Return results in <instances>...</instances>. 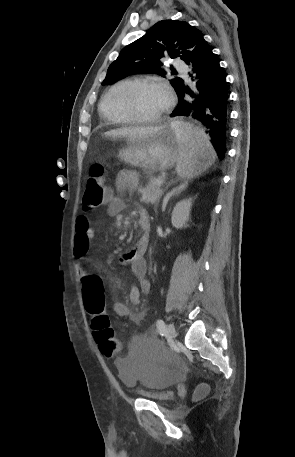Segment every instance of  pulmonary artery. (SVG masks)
<instances>
[{"label":"pulmonary artery","mask_w":295,"mask_h":457,"mask_svg":"<svg viewBox=\"0 0 295 457\" xmlns=\"http://www.w3.org/2000/svg\"><path fill=\"white\" fill-rule=\"evenodd\" d=\"M174 66L185 78H187V69L183 62L180 60H175Z\"/></svg>","instance_id":"1"}]
</instances>
